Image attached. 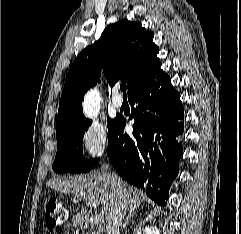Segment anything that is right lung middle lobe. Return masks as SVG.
Returning <instances> with one entry per match:
<instances>
[{"label": "right lung middle lobe", "mask_w": 241, "mask_h": 234, "mask_svg": "<svg viewBox=\"0 0 241 234\" xmlns=\"http://www.w3.org/2000/svg\"><path fill=\"white\" fill-rule=\"evenodd\" d=\"M116 118L108 122V139L114 128ZM91 120H83L71 127L56 132L57 153L52 168L57 173H84L90 171L98 163L87 161L82 154V139L91 125Z\"/></svg>", "instance_id": "right-lung-middle-lobe-1"}]
</instances>
